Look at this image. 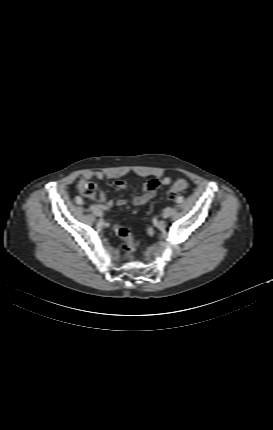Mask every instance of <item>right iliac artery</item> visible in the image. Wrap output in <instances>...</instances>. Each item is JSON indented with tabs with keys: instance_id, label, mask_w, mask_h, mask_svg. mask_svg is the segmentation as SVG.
Returning <instances> with one entry per match:
<instances>
[{
	"instance_id": "right-iliac-artery-1",
	"label": "right iliac artery",
	"mask_w": 273,
	"mask_h": 430,
	"mask_svg": "<svg viewBox=\"0 0 273 430\" xmlns=\"http://www.w3.org/2000/svg\"><path fill=\"white\" fill-rule=\"evenodd\" d=\"M75 199H76V203L83 204V199H81L80 197H76ZM100 207L103 208V209H107L104 206H100Z\"/></svg>"
}]
</instances>
